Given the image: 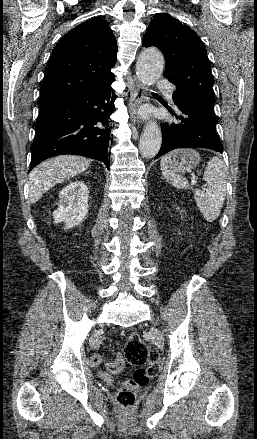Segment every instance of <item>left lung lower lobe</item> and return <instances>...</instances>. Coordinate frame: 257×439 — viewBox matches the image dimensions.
<instances>
[{"instance_id":"1","label":"left lung lower lobe","mask_w":257,"mask_h":439,"mask_svg":"<svg viewBox=\"0 0 257 439\" xmlns=\"http://www.w3.org/2000/svg\"><path fill=\"white\" fill-rule=\"evenodd\" d=\"M172 97L179 114L167 109L177 122L162 124V145L155 159L178 148H207L222 153L223 145L216 133L214 111L177 89Z\"/></svg>"}]
</instances>
